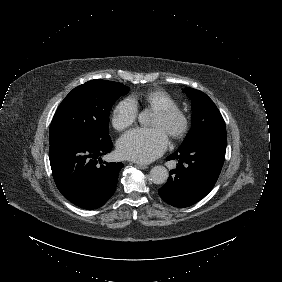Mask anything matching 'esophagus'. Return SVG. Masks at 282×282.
I'll use <instances>...</instances> for the list:
<instances>
[{
  "label": "esophagus",
  "instance_id": "34e87169",
  "mask_svg": "<svg viewBox=\"0 0 282 282\" xmlns=\"http://www.w3.org/2000/svg\"><path fill=\"white\" fill-rule=\"evenodd\" d=\"M136 165H137V167L140 168V169H147V168H148V166H147V165H144V164L137 163Z\"/></svg>",
  "mask_w": 282,
  "mask_h": 282
}]
</instances>
